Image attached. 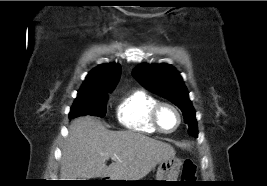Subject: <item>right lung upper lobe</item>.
<instances>
[{"mask_svg":"<svg viewBox=\"0 0 267 186\" xmlns=\"http://www.w3.org/2000/svg\"><path fill=\"white\" fill-rule=\"evenodd\" d=\"M121 67L115 63L102 64L94 68L86 77L78 92L112 89L116 86Z\"/></svg>","mask_w":267,"mask_h":186,"instance_id":"1","label":"right lung upper lobe"}]
</instances>
